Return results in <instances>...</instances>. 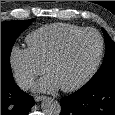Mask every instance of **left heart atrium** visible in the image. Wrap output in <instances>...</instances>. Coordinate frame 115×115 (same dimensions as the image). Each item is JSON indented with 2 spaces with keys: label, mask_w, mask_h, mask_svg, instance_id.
<instances>
[{
  "label": "left heart atrium",
  "mask_w": 115,
  "mask_h": 115,
  "mask_svg": "<svg viewBox=\"0 0 115 115\" xmlns=\"http://www.w3.org/2000/svg\"><path fill=\"white\" fill-rule=\"evenodd\" d=\"M59 87V83L51 75L48 74L37 84L36 88L40 91L53 92Z\"/></svg>",
  "instance_id": "1"
}]
</instances>
